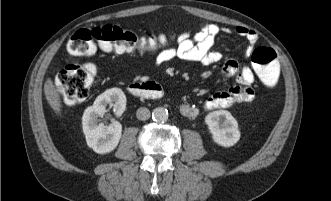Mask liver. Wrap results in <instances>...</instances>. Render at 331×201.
Returning a JSON list of instances; mask_svg holds the SVG:
<instances>
[{
    "mask_svg": "<svg viewBox=\"0 0 331 201\" xmlns=\"http://www.w3.org/2000/svg\"><path fill=\"white\" fill-rule=\"evenodd\" d=\"M44 93L50 107L55 111L57 115H61L62 104L60 95L57 92L53 81L50 78H47L44 84Z\"/></svg>",
    "mask_w": 331,
    "mask_h": 201,
    "instance_id": "obj_1",
    "label": "liver"
}]
</instances>
